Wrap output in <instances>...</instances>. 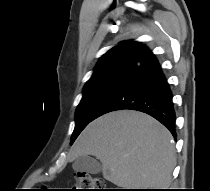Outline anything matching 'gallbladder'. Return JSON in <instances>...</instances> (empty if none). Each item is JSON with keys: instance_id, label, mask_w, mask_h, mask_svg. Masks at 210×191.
I'll return each instance as SVG.
<instances>
[{"instance_id": "bac80fb5", "label": "gallbladder", "mask_w": 210, "mask_h": 191, "mask_svg": "<svg viewBox=\"0 0 210 191\" xmlns=\"http://www.w3.org/2000/svg\"><path fill=\"white\" fill-rule=\"evenodd\" d=\"M77 172H86L90 174H98L101 172V164L89 155L80 156L72 164Z\"/></svg>"}]
</instances>
